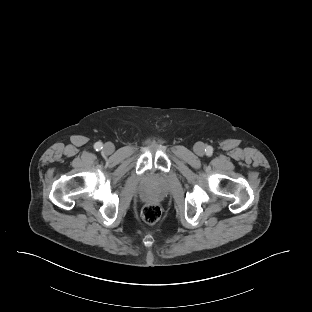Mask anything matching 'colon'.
<instances>
[{
    "instance_id": "1",
    "label": "colon",
    "mask_w": 312,
    "mask_h": 312,
    "mask_svg": "<svg viewBox=\"0 0 312 312\" xmlns=\"http://www.w3.org/2000/svg\"><path fill=\"white\" fill-rule=\"evenodd\" d=\"M161 217V207L157 203H149L142 210V218L148 224H155Z\"/></svg>"
}]
</instances>
